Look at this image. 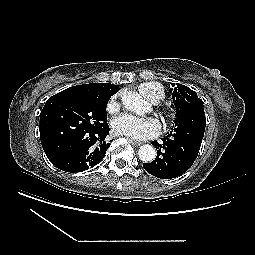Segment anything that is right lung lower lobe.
Returning <instances> with one entry per match:
<instances>
[{
	"instance_id": "right-lung-lower-lobe-1",
	"label": "right lung lower lobe",
	"mask_w": 255,
	"mask_h": 255,
	"mask_svg": "<svg viewBox=\"0 0 255 255\" xmlns=\"http://www.w3.org/2000/svg\"><path fill=\"white\" fill-rule=\"evenodd\" d=\"M109 134L108 124L76 136L67 141L58 151L48 149L42 141L43 149L50 162L65 172H82L98 164L105 156L110 143L106 141Z\"/></svg>"
}]
</instances>
